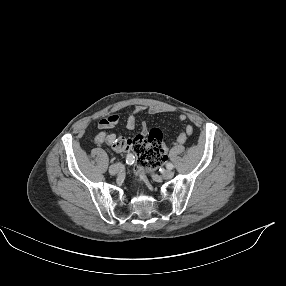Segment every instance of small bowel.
Wrapping results in <instances>:
<instances>
[{
	"label": "small bowel",
	"instance_id": "c3829d8e",
	"mask_svg": "<svg viewBox=\"0 0 286 286\" xmlns=\"http://www.w3.org/2000/svg\"><path fill=\"white\" fill-rule=\"evenodd\" d=\"M147 110L151 114H158L163 112L164 110L157 106H152L149 108H146L144 106H137L134 110V112L130 115H128L124 121L125 127L129 130H132L136 127L137 124V114L144 112ZM177 119L179 121H185L187 119L186 114H180L178 115ZM120 121V117L117 114H111L106 117H103L98 122V128L101 130L95 137L94 142L98 145L101 144H108L111 145L113 141L116 139V136L111 133H107L106 130L112 129L118 125ZM148 132V126L146 123L142 124L141 133L143 135H146ZM193 134V127L191 125H186L184 130L177 136L176 138V144L182 145L186 142L187 138ZM164 148L166 150V146L164 145Z\"/></svg>",
	"mask_w": 286,
	"mask_h": 286
}]
</instances>
